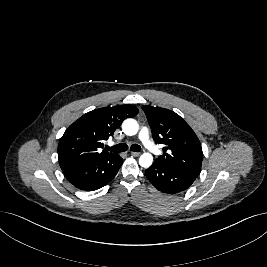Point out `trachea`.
Returning a JSON list of instances; mask_svg holds the SVG:
<instances>
[{
	"label": "trachea",
	"mask_w": 267,
	"mask_h": 267,
	"mask_svg": "<svg viewBox=\"0 0 267 267\" xmlns=\"http://www.w3.org/2000/svg\"><path fill=\"white\" fill-rule=\"evenodd\" d=\"M106 149L111 151V152L120 153V152H125L128 149V145L125 143H121V144H117V145L112 146V147L107 146ZM130 149H131V151H134V152H140L141 151V147L137 144H133Z\"/></svg>",
	"instance_id": "1"
}]
</instances>
